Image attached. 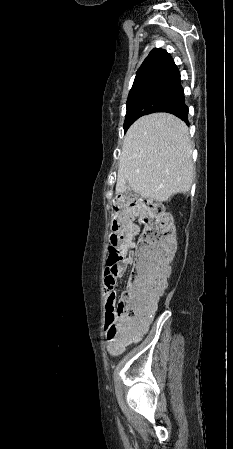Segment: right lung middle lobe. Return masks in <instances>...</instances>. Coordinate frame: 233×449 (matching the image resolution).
Masks as SVG:
<instances>
[{"mask_svg": "<svg viewBox=\"0 0 233 449\" xmlns=\"http://www.w3.org/2000/svg\"><path fill=\"white\" fill-rule=\"evenodd\" d=\"M183 98V90L170 88L149 89L129 95L124 130L126 131L139 117L160 111Z\"/></svg>", "mask_w": 233, "mask_h": 449, "instance_id": "right-lung-middle-lobe-1", "label": "right lung middle lobe"}]
</instances>
